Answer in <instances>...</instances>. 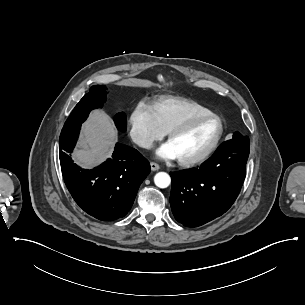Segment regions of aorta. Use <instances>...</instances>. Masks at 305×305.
<instances>
[{"label": "aorta", "instance_id": "aorta-1", "mask_svg": "<svg viewBox=\"0 0 305 305\" xmlns=\"http://www.w3.org/2000/svg\"><path fill=\"white\" fill-rule=\"evenodd\" d=\"M154 183L159 188H167L171 183V178L166 172H159L154 176Z\"/></svg>", "mask_w": 305, "mask_h": 305}]
</instances>
